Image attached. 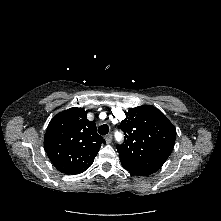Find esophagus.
I'll list each match as a JSON object with an SVG mask.
<instances>
[{"label":"esophagus","mask_w":221,"mask_h":221,"mask_svg":"<svg viewBox=\"0 0 221 221\" xmlns=\"http://www.w3.org/2000/svg\"><path fill=\"white\" fill-rule=\"evenodd\" d=\"M105 141L107 144H110L112 142V134H108L105 136Z\"/></svg>","instance_id":"obj_1"}]
</instances>
